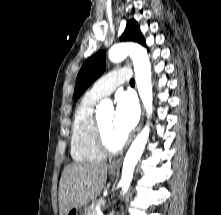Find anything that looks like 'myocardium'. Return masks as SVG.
<instances>
[{
  "mask_svg": "<svg viewBox=\"0 0 221 215\" xmlns=\"http://www.w3.org/2000/svg\"><path fill=\"white\" fill-rule=\"evenodd\" d=\"M94 137L98 148L104 154H116L120 152L127 143V139L125 138L116 145L109 143L101 126L99 117H96L94 121Z\"/></svg>",
  "mask_w": 221,
  "mask_h": 215,
  "instance_id": "f54148a6",
  "label": "myocardium"
}]
</instances>
